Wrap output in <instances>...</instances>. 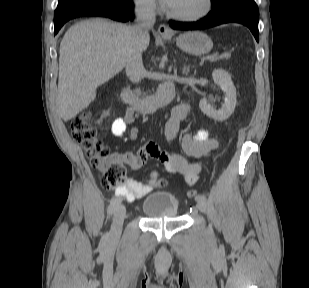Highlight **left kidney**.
Wrapping results in <instances>:
<instances>
[{
	"instance_id": "5707ae66",
	"label": "left kidney",
	"mask_w": 309,
	"mask_h": 288,
	"mask_svg": "<svg viewBox=\"0 0 309 288\" xmlns=\"http://www.w3.org/2000/svg\"><path fill=\"white\" fill-rule=\"evenodd\" d=\"M212 78L225 93L224 104L218 110L214 109L206 98L200 100L199 107L207 116L217 120L224 121L234 112L236 106V88L231 80L229 73L223 69H215L212 72Z\"/></svg>"
}]
</instances>
